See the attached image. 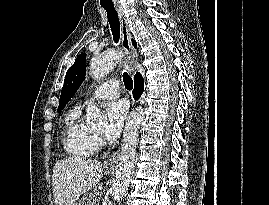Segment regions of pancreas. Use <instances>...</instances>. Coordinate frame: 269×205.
<instances>
[{
	"label": "pancreas",
	"mask_w": 269,
	"mask_h": 205,
	"mask_svg": "<svg viewBox=\"0 0 269 205\" xmlns=\"http://www.w3.org/2000/svg\"><path fill=\"white\" fill-rule=\"evenodd\" d=\"M89 198L93 201L91 205H99L100 199L95 195V192L89 194Z\"/></svg>",
	"instance_id": "obj_1"
}]
</instances>
